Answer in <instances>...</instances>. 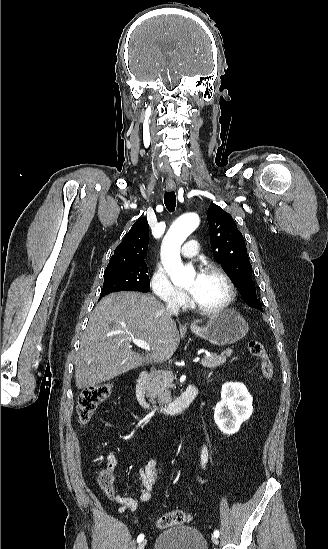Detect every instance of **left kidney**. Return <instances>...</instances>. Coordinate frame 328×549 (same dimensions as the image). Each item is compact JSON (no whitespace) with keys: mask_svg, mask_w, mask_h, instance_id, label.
Masks as SVG:
<instances>
[{"mask_svg":"<svg viewBox=\"0 0 328 549\" xmlns=\"http://www.w3.org/2000/svg\"><path fill=\"white\" fill-rule=\"evenodd\" d=\"M252 397L243 383H224L221 401L214 411L215 423L224 435H234L252 415Z\"/></svg>","mask_w":328,"mask_h":549,"instance_id":"left-kidney-1","label":"left kidney"}]
</instances>
